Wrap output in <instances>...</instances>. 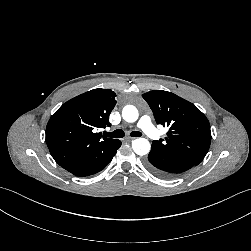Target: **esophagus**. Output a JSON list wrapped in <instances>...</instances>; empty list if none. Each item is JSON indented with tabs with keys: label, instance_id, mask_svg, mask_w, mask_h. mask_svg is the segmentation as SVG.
I'll use <instances>...</instances> for the list:
<instances>
[{
	"label": "esophagus",
	"instance_id": "34e87169",
	"mask_svg": "<svg viewBox=\"0 0 251 251\" xmlns=\"http://www.w3.org/2000/svg\"><path fill=\"white\" fill-rule=\"evenodd\" d=\"M135 138L134 137H127L125 140H127V141H132V140H134Z\"/></svg>",
	"mask_w": 251,
	"mask_h": 251
}]
</instances>
